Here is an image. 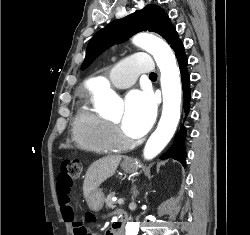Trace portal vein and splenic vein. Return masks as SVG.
<instances>
[{
	"label": "portal vein and splenic vein",
	"instance_id": "portal-vein-and-splenic-vein-1",
	"mask_svg": "<svg viewBox=\"0 0 250 235\" xmlns=\"http://www.w3.org/2000/svg\"><path fill=\"white\" fill-rule=\"evenodd\" d=\"M118 204H123L124 200L122 198L118 199Z\"/></svg>",
	"mask_w": 250,
	"mask_h": 235
}]
</instances>
